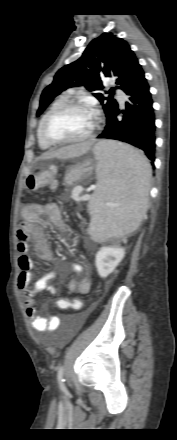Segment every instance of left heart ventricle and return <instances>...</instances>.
<instances>
[{
    "mask_svg": "<svg viewBox=\"0 0 177 440\" xmlns=\"http://www.w3.org/2000/svg\"><path fill=\"white\" fill-rule=\"evenodd\" d=\"M93 117L84 110H68L56 116L48 133L57 139L72 140L85 136L93 127Z\"/></svg>",
    "mask_w": 177,
    "mask_h": 440,
    "instance_id": "1",
    "label": "left heart ventricle"
}]
</instances>
